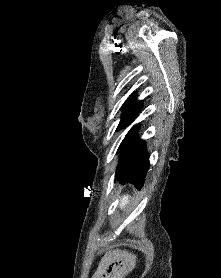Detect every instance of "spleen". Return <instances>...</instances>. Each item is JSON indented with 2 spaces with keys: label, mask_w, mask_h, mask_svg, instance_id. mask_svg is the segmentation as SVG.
<instances>
[{
  "label": "spleen",
  "mask_w": 221,
  "mask_h": 278,
  "mask_svg": "<svg viewBox=\"0 0 221 278\" xmlns=\"http://www.w3.org/2000/svg\"><path fill=\"white\" fill-rule=\"evenodd\" d=\"M128 201H129V195H124L121 200L120 207L122 208L124 205L128 203Z\"/></svg>",
  "instance_id": "spleen-1"
}]
</instances>
